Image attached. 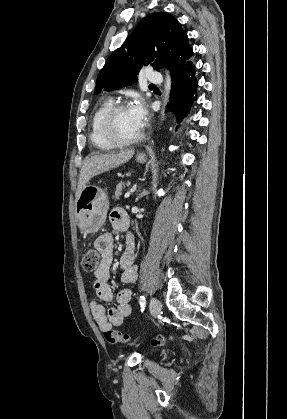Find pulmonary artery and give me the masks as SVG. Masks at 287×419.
<instances>
[{
  "label": "pulmonary artery",
  "instance_id": "e3ab8cb5",
  "mask_svg": "<svg viewBox=\"0 0 287 419\" xmlns=\"http://www.w3.org/2000/svg\"><path fill=\"white\" fill-rule=\"evenodd\" d=\"M162 81H163V77L161 73L153 71V70H149L146 72V82L156 85V84H161Z\"/></svg>",
  "mask_w": 287,
  "mask_h": 419
}]
</instances>
